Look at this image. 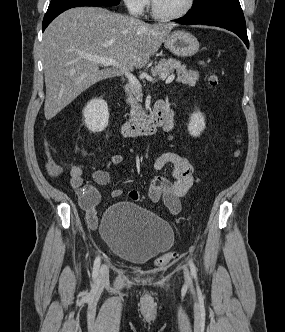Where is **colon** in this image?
Segmentation results:
<instances>
[{"label":"colon","instance_id":"1","mask_svg":"<svg viewBox=\"0 0 285 332\" xmlns=\"http://www.w3.org/2000/svg\"><path fill=\"white\" fill-rule=\"evenodd\" d=\"M218 76L216 74H212L210 77H209V83L216 87L218 85ZM236 154H238V151H236ZM47 167H48V171L50 172L51 175L53 176H58L60 175L62 169L61 167L56 164L54 161L50 160L47 164ZM174 256V253L173 252H168V253H165L163 256H161L159 259H158V263L159 265H163L165 263H167L172 257Z\"/></svg>","mask_w":285,"mask_h":332}]
</instances>
